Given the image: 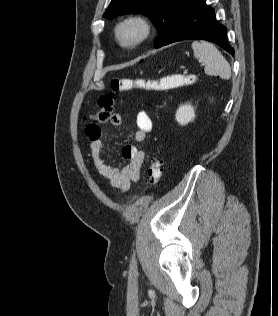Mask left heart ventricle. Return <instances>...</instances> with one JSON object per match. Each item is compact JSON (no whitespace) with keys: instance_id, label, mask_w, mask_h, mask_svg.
Segmentation results:
<instances>
[{"instance_id":"b2bd125f","label":"left heart ventricle","mask_w":278,"mask_h":316,"mask_svg":"<svg viewBox=\"0 0 278 316\" xmlns=\"http://www.w3.org/2000/svg\"><path fill=\"white\" fill-rule=\"evenodd\" d=\"M134 35H135V30L132 28H128V29L123 31V37L125 39H131L134 37Z\"/></svg>"}]
</instances>
